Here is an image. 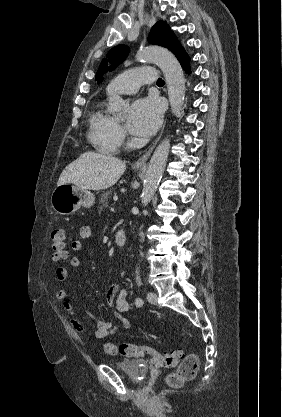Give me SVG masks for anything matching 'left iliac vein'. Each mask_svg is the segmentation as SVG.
<instances>
[{"label":"left iliac vein","instance_id":"obj_1","mask_svg":"<svg viewBox=\"0 0 282 417\" xmlns=\"http://www.w3.org/2000/svg\"><path fill=\"white\" fill-rule=\"evenodd\" d=\"M147 300L148 302H150L151 304H157V294L154 292H149L147 294Z\"/></svg>","mask_w":282,"mask_h":417}]
</instances>
